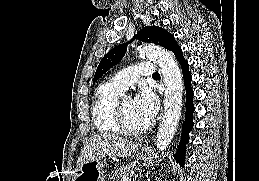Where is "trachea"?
<instances>
[{"label":"trachea","mask_w":259,"mask_h":181,"mask_svg":"<svg viewBox=\"0 0 259 181\" xmlns=\"http://www.w3.org/2000/svg\"><path fill=\"white\" fill-rule=\"evenodd\" d=\"M153 76H159V73H158V72H155V73L153 74Z\"/></svg>","instance_id":"obj_1"}]
</instances>
